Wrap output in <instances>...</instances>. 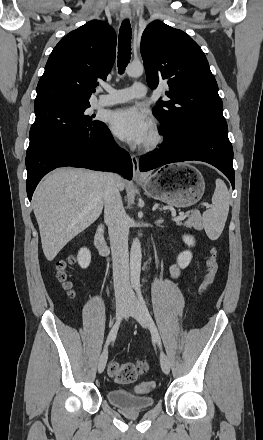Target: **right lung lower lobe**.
Masks as SVG:
<instances>
[{
  "instance_id": "98d812e1",
  "label": "right lung lower lobe",
  "mask_w": 263,
  "mask_h": 440,
  "mask_svg": "<svg viewBox=\"0 0 263 440\" xmlns=\"http://www.w3.org/2000/svg\"><path fill=\"white\" fill-rule=\"evenodd\" d=\"M83 167L120 173L132 178V160L120 149L106 125L84 134H70L55 139L26 155V188L29 200L43 178L57 167Z\"/></svg>"
}]
</instances>
